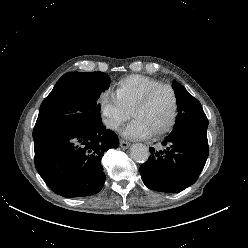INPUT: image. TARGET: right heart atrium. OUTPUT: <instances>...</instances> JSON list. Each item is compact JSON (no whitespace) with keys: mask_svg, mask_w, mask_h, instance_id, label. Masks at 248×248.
Masks as SVG:
<instances>
[{"mask_svg":"<svg viewBox=\"0 0 248 248\" xmlns=\"http://www.w3.org/2000/svg\"><path fill=\"white\" fill-rule=\"evenodd\" d=\"M97 105L104 124L110 130H118L129 117V111L121 105L114 93L102 92Z\"/></svg>","mask_w":248,"mask_h":248,"instance_id":"d8ad5b80","label":"right heart atrium"}]
</instances>
